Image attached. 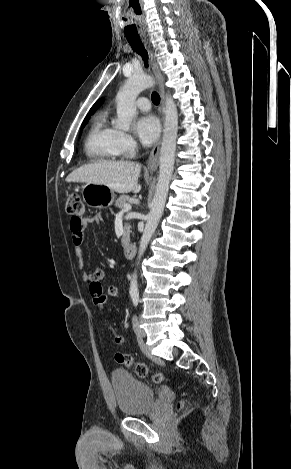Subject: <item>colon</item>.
Segmentation results:
<instances>
[{
    "mask_svg": "<svg viewBox=\"0 0 291 469\" xmlns=\"http://www.w3.org/2000/svg\"><path fill=\"white\" fill-rule=\"evenodd\" d=\"M66 211L72 216V218L81 219L85 215V205L77 193H70L66 200ZM94 291L100 292L98 287L93 288ZM94 308L97 311H102L107 306L106 295L104 293H99L93 298ZM111 332L114 335V341L118 345H122L124 338L117 334L112 327H110ZM115 359L118 363L123 364L127 367H134L135 373L139 377H146L148 375V368L143 363H134L133 358L130 354L126 353H117ZM154 382L160 383L164 380V376L161 373H156L152 376Z\"/></svg>",
    "mask_w": 291,
    "mask_h": 469,
    "instance_id": "colon-1",
    "label": "colon"
}]
</instances>
